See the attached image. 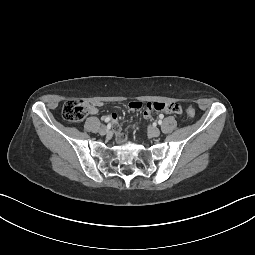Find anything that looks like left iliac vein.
I'll return each mask as SVG.
<instances>
[{
	"label": "left iliac vein",
	"instance_id": "left-iliac-vein-1",
	"mask_svg": "<svg viewBox=\"0 0 255 255\" xmlns=\"http://www.w3.org/2000/svg\"><path fill=\"white\" fill-rule=\"evenodd\" d=\"M149 134L152 137H159L160 136V130L158 128H156V127H150Z\"/></svg>",
	"mask_w": 255,
	"mask_h": 255
}]
</instances>
